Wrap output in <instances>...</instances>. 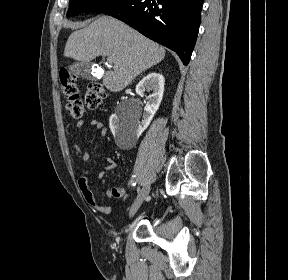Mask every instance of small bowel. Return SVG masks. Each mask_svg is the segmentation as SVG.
<instances>
[{
    "instance_id": "1",
    "label": "small bowel",
    "mask_w": 288,
    "mask_h": 280,
    "mask_svg": "<svg viewBox=\"0 0 288 280\" xmlns=\"http://www.w3.org/2000/svg\"><path fill=\"white\" fill-rule=\"evenodd\" d=\"M89 124L91 127H94L95 129L99 130L103 138L107 136V129L105 128L102 121L98 119H92L90 120ZM83 127L84 122L79 121L77 123V128L81 129ZM73 147L82 161L87 162L89 160L90 155L87 151L82 150L78 144H74ZM105 161L106 165L103 167L102 170L96 173H92L86 169L82 170V172L77 178V183L88 205H90L92 208L101 213L110 214L112 211V207L110 205H104L99 203L95 198L94 193L88 183V176L94 175L97 179H103L107 172L113 170L116 167V163L112 157H106ZM106 196L108 198H117L120 201H124L128 197V194L126 193V190L123 187L113 186L107 189Z\"/></svg>"
}]
</instances>
